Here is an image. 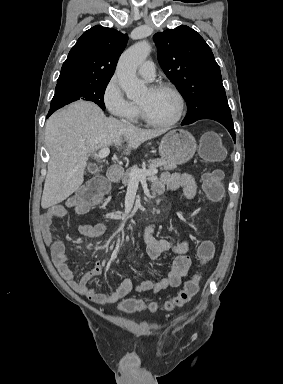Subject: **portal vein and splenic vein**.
<instances>
[{
  "label": "portal vein and splenic vein",
  "mask_w": 283,
  "mask_h": 384,
  "mask_svg": "<svg viewBox=\"0 0 283 384\" xmlns=\"http://www.w3.org/2000/svg\"><path fill=\"white\" fill-rule=\"evenodd\" d=\"M109 154V148H102L98 154V158L102 160V158H106V156H109ZM156 174H158V170H156V168H153V170H132L130 174V182H139V180H144L146 176H150V178H156Z\"/></svg>",
  "instance_id": "18ae733b"
}]
</instances>
